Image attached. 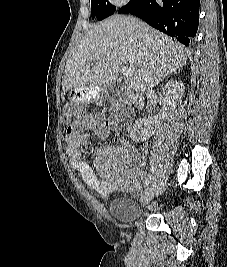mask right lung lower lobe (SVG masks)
Masks as SVG:
<instances>
[{
	"instance_id": "1",
	"label": "right lung lower lobe",
	"mask_w": 227,
	"mask_h": 267,
	"mask_svg": "<svg viewBox=\"0 0 227 267\" xmlns=\"http://www.w3.org/2000/svg\"><path fill=\"white\" fill-rule=\"evenodd\" d=\"M200 0H130L117 12L135 15L185 46L196 35Z\"/></svg>"
}]
</instances>
